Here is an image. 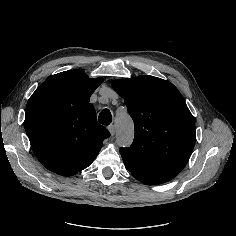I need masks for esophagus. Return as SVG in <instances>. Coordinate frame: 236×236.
Returning <instances> with one entry per match:
<instances>
[{
    "instance_id": "34e87169",
    "label": "esophagus",
    "mask_w": 236,
    "mask_h": 236,
    "mask_svg": "<svg viewBox=\"0 0 236 236\" xmlns=\"http://www.w3.org/2000/svg\"><path fill=\"white\" fill-rule=\"evenodd\" d=\"M108 130L110 131L111 135L114 136L115 135V126L114 125H110L108 126Z\"/></svg>"
}]
</instances>
